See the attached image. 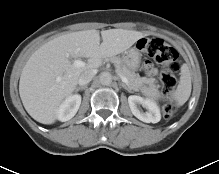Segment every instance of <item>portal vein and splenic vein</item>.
<instances>
[{
    "label": "portal vein and splenic vein",
    "instance_id": "18ae733b",
    "mask_svg": "<svg viewBox=\"0 0 219 174\" xmlns=\"http://www.w3.org/2000/svg\"><path fill=\"white\" fill-rule=\"evenodd\" d=\"M73 65L75 67H83V66H85V63L81 60H75ZM121 79L124 83L128 84V79L126 77L121 76Z\"/></svg>",
    "mask_w": 219,
    "mask_h": 174
}]
</instances>
